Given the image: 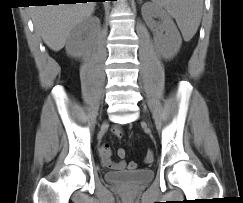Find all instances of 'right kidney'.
Wrapping results in <instances>:
<instances>
[{"label":"right kidney","instance_id":"ca27d5eb","mask_svg":"<svg viewBox=\"0 0 243 203\" xmlns=\"http://www.w3.org/2000/svg\"><path fill=\"white\" fill-rule=\"evenodd\" d=\"M99 29L100 20L98 17H89L80 22L72 29L67 39V54L75 58L85 55L89 48V41L86 39V35L95 36Z\"/></svg>","mask_w":243,"mask_h":203}]
</instances>
